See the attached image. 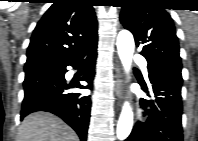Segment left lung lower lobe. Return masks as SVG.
I'll return each mask as SVG.
<instances>
[{"label": "left lung lower lobe", "instance_id": "0a47b994", "mask_svg": "<svg viewBox=\"0 0 198 141\" xmlns=\"http://www.w3.org/2000/svg\"><path fill=\"white\" fill-rule=\"evenodd\" d=\"M148 72L151 93L146 92L152 99H140L148 118L137 122L125 141H183L181 73L170 69Z\"/></svg>", "mask_w": 198, "mask_h": 141}]
</instances>
